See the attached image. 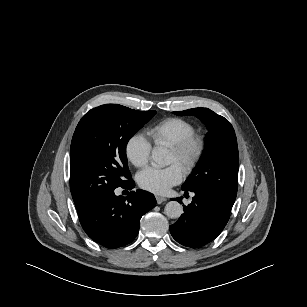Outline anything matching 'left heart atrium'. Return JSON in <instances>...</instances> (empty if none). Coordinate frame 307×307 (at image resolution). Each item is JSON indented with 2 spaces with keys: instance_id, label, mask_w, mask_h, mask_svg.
<instances>
[{
  "instance_id": "1",
  "label": "left heart atrium",
  "mask_w": 307,
  "mask_h": 307,
  "mask_svg": "<svg viewBox=\"0 0 307 307\" xmlns=\"http://www.w3.org/2000/svg\"><path fill=\"white\" fill-rule=\"evenodd\" d=\"M183 171L178 164L166 168L148 167L142 170L137 181L141 188L155 194H164L181 182Z\"/></svg>"
}]
</instances>
